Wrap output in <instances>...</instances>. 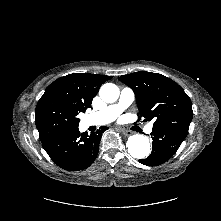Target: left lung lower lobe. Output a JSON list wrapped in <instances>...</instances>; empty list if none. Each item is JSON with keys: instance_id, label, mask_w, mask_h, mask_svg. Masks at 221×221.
I'll use <instances>...</instances> for the list:
<instances>
[{"instance_id": "0a47b994", "label": "left lung lower lobe", "mask_w": 221, "mask_h": 221, "mask_svg": "<svg viewBox=\"0 0 221 221\" xmlns=\"http://www.w3.org/2000/svg\"><path fill=\"white\" fill-rule=\"evenodd\" d=\"M152 153L149 157L139 160L147 166H157L169 160L178 150L184 136L163 129H152Z\"/></svg>"}]
</instances>
